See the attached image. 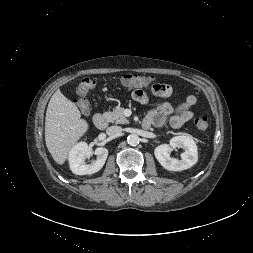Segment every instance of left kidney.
Listing matches in <instances>:
<instances>
[{"label": "left kidney", "instance_id": "obj_1", "mask_svg": "<svg viewBox=\"0 0 253 253\" xmlns=\"http://www.w3.org/2000/svg\"><path fill=\"white\" fill-rule=\"evenodd\" d=\"M172 148H183L181 160L170 157ZM154 154L158 162L169 171H182L192 167L198 160L197 145L189 136H175L169 144H162L155 148Z\"/></svg>", "mask_w": 253, "mask_h": 253}]
</instances>
